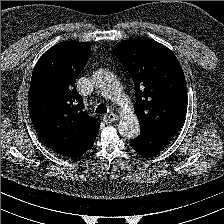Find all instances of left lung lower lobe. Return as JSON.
<instances>
[{"instance_id":"obj_1","label":"left lung lower lobe","mask_w":224,"mask_h":224,"mask_svg":"<svg viewBox=\"0 0 224 224\" xmlns=\"http://www.w3.org/2000/svg\"><path fill=\"white\" fill-rule=\"evenodd\" d=\"M169 142L150 131L140 129L139 136L130 140V145L142 156L151 157L158 154Z\"/></svg>"}]
</instances>
